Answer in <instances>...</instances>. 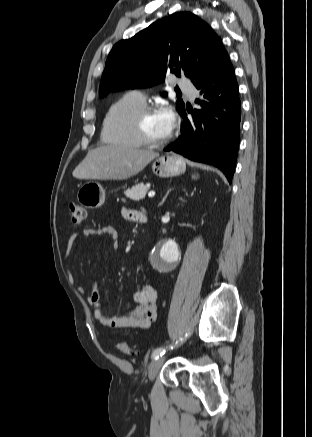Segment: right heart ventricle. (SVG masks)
Here are the masks:
<instances>
[{
    "mask_svg": "<svg viewBox=\"0 0 312 437\" xmlns=\"http://www.w3.org/2000/svg\"><path fill=\"white\" fill-rule=\"evenodd\" d=\"M144 105L132 93L125 94L108 109L102 122L103 142L120 147L137 148L141 146L132 127L134 112Z\"/></svg>",
    "mask_w": 312,
    "mask_h": 437,
    "instance_id": "obj_1",
    "label": "right heart ventricle"
}]
</instances>
